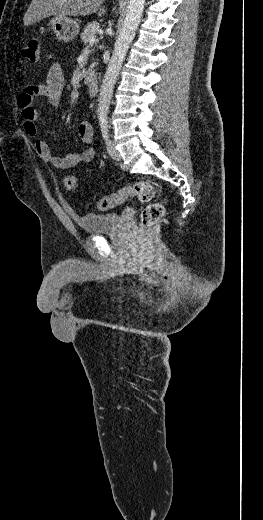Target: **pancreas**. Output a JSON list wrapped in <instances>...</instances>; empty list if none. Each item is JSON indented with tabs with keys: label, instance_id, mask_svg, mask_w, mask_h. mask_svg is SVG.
I'll return each mask as SVG.
<instances>
[{
	"label": "pancreas",
	"instance_id": "obj_1",
	"mask_svg": "<svg viewBox=\"0 0 263 520\" xmlns=\"http://www.w3.org/2000/svg\"><path fill=\"white\" fill-rule=\"evenodd\" d=\"M99 28H100V25L97 21H93L91 23H88L85 27H84V30L83 32L81 33V40L84 44H87L90 40V38L92 36H95L97 34V32L99 31ZM94 67V65H92L87 74L90 73V71L92 70V68ZM89 77L87 76V79Z\"/></svg>",
	"mask_w": 263,
	"mask_h": 520
}]
</instances>
